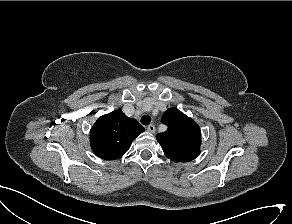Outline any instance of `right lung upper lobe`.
I'll use <instances>...</instances> for the list:
<instances>
[{"mask_svg": "<svg viewBox=\"0 0 292 224\" xmlns=\"http://www.w3.org/2000/svg\"><path fill=\"white\" fill-rule=\"evenodd\" d=\"M144 127L121 109L98 118L90 130V144L99 158L115 160L124 155Z\"/></svg>", "mask_w": 292, "mask_h": 224, "instance_id": "1", "label": "right lung upper lobe"}]
</instances>
